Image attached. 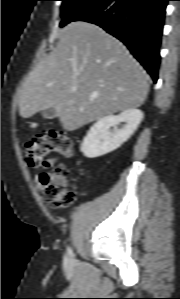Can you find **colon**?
<instances>
[{"label":"colon","mask_w":180,"mask_h":299,"mask_svg":"<svg viewBox=\"0 0 180 299\" xmlns=\"http://www.w3.org/2000/svg\"><path fill=\"white\" fill-rule=\"evenodd\" d=\"M59 153L69 157L73 154V141L62 130L46 129L35 140L24 146L25 162L30 167H40L45 157L51 153ZM41 196L44 202L52 208L69 206L75 198L74 190L63 165L40 175Z\"/></svg>","instance_id":"5ec220e1"}]
</instances>
